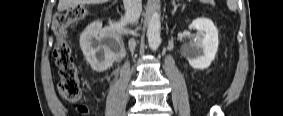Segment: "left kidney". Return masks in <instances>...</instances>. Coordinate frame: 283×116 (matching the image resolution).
<instances>
[{"label": "left kidney", "instance_id": "5707ae66", "mask_svg": "<svg viewBox=\"0 0 283 116\" xmlns=\"http://www.w3.org/2000/svg\"><path fill=\"white\" fill-rule=\"evenodd\" d=\"M189 28L198 31V36L189 44L185 54L194 69H206L215 59L218 50V30L208 18H197Z\"/></svg>", "mask_w": 283, "mask_h": 116}]
</instances>
